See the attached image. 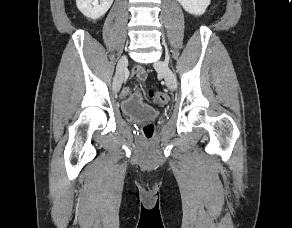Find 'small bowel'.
Returning a JSON list of instances; mask_svg holds the SVG:
<instances>
[{
    "mask_svg": "<svg viewBox=\"0 0 292 228\" xmlns=\"http://www.w3.org/2000/svg\"><path fill=\"white\" fill-rule=\"evenodd\" d=\"M130 76L133 77V79L136 82H140V81H143V80L146 79L147 72L143 67L135 66L132 69ZM121 96L123 98H129L130 101H133V102H139L140 103L142 101V96H141L140 92H138V91L134 92L131 87H124L121 90Z\"/></svg>",
    "mask_w": 292,
    "mask_h": 228,
    "instance_id": "c3829d8e",
    "label": "small bowel"
}]
</instances>
